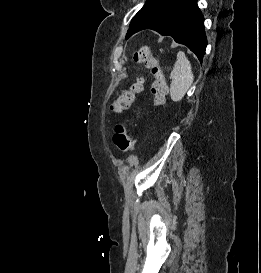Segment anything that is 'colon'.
Here are the masks:
<instances>
[{
	"instance_id": "colon-1",
	"label": "colon",
	"mask_w": 261,
	"mask_h": 273,
	"mask_svg": "<svg viewBox=\"0 0 261 273\" xmlns=\"http://www.w3.org/2000/svg\"><path fill=\"white\" fill-rule=\"evenodd\" d=\"M134 59L138 63H144L150 69L153 76L151 92L153 95V104L160 106L164 104L167 96V84L160 65L159 56L153 53L150 47L144 45L138 48L134 54ZM143 89V80L137 79L127 88L123 89L111 108L115 112L128 110L134 103L137 94ZM113 142L118 150L122 152L132 151L134 149V139L128 133L125 125L118 124L115 127Z\"/></svg>"
}]
</instances>
